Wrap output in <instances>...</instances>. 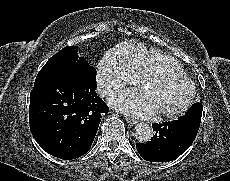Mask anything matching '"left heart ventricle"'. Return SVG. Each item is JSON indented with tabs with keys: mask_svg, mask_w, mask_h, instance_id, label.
<instances>
[{
	"mask_svg": "<svg viewBox=\"0 0 230 181\" xmlns=\"http://www.w3.org/2000/svg\"><path fill=\"white\" fill-rule=\"evenodd\" d=\"M188 93V84L180 79L156 78L143 90V96L157 111L178 108L185 101Z\"/></svg>",
	"mask_w": 230,
	"mask_h": 181,
	"instance_id": "obj_1",
	"label": "left heart ventricle"
}]
</instances>
